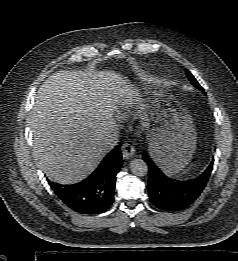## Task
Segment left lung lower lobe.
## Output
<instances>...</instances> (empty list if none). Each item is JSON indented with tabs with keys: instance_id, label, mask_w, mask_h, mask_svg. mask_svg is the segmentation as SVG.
<instances>
[{
	"instance_id": "left-lung-lower-lobe-1",
	"label": "left lung lower lobe",
	"mask_w": 238,
	"mask_h": 261,
	"mask_svg": "<svg viewBox=\"0 0 238 261\" xmlns=\"http://www.w3.org/2000/svg\"><path fill=\"white\" fill-rule=\"evenodd\" d=\"M148 164V193L150 201L159 209L180 211L191 205L205 188L213 169L214 159L197 177L178 180L168 177L152 160L149 153L143 154Z\"/></svg>"
}]
</instances>
